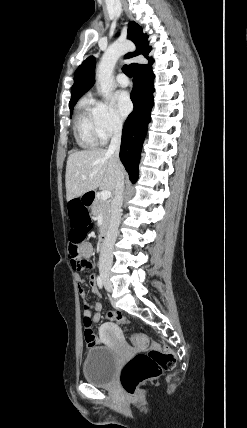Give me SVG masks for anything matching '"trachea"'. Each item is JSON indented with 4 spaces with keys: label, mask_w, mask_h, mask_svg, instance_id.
I'll list each match as a JSON object with an SVG mask.
<instances>
[{
    "label": "trachea",
    "mask_w": 247,
    "mask_h": 428,
    "mask_svg": "<svg viewBox=\"0 0 247 428\" xmlns=\"http://www.w3.org/2000/svg\"><path fill=\"white\" fill-rule=\"evenodd\" d=\"M123 72L128 76V77H132V73H131V69L128 65H124L123 66Z\"/></svg>",
    "instance_id": "obj_1"
}]
</instances>
